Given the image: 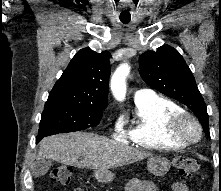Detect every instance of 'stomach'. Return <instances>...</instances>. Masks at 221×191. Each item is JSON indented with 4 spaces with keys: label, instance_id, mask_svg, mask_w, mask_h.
Listing matches in <instances>:
<instances>
[{
    "label": "stomach",
    "instance_id": "1",
    "mask_svg": "<svg viewBox=\"0 0 221 191\" xmlns=\"http://www.w3.org/2000/svg\"><path fill=\"white\" fill-rule=\"evenodd\" d=\"M170 168V162L164 157H151L147 161L148 171L155 176L165 175ZM94 176L101 183H110L115 175L110 170H95Z\"/></svg>",
    "mask_w": 221,
    "mask_h": 191
}]
</instances>
